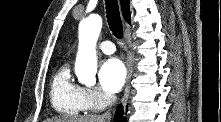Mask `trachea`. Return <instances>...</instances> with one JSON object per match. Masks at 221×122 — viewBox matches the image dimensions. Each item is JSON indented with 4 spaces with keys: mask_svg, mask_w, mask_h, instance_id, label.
Returning <instances> with one entry per match:
<instances>
[{
    "mask_svg": "<svg viewBox=\"0 0 221 122\" xmlns=\"http://www.w3.org/2000/svg\"><path fill=\"white\" fill-rule=\"evenodd\" d=\"M107 21L113 35L121 39L123 36V26L119 15V6L117 0H105Z\"/></svg>",
    "mask_w": 221,
    "mask_h": 122,
    "instance_id": "3493384b",
    "label": "trachea"
}]
</instances>
